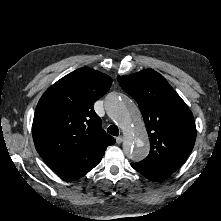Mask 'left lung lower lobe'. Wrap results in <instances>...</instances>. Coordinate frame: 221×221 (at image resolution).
I'll list each match as a JSON object with an SVG mask.
<instances>
[{
  "label": "left lung lower lobe",
  "instance_id": "left-lung-lower-lobe-1",
  "mask_svg": "<svg viewBox=\"0 0 221 221\" xmlns=\"http://www.w3.org/2000/svg\"><path fill=\"white\" fill-rule=\"evenodd\" d=\"M131 166L150 180L164 179L171 175V173L165 171L140 167L137 163H131Z\"/></svg>",
  "mask_w": 221,
  "mask_h": 221
}]
</instances>
